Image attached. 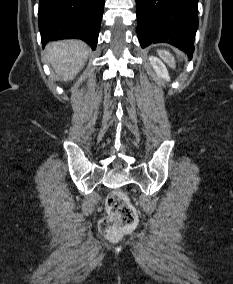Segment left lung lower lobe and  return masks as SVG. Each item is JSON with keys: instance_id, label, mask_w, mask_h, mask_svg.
Wrapping results in <instances>:
<instances>
[{"instance_id": "1", "label": "left lung lower lobe", "mask_w": 233, "mask_h": 284, "mask_svg": "<svg viewBox=\"0 0 233 284\" xmlns=\"http://www.w3.org/2000/svg\"><path fill=\"white\" fill-rule=\"evenodd\" d=\"M136 15L142 48L164 42L193 53L198 0H136Z\"/></svg>"}]
</instances>
